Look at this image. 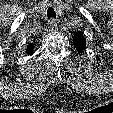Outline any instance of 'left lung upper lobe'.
<instances>
[{
	"instance_id": "obj_1",
	"label": "left lung upper lobe",
	"mask_w": 113,
	"mask_h": 113,
	"mask_svg": "<svg viewBox=\"0 0 113 113\" xmlns=\"http://www.w3.org/2000/svg\"><path fill=\"white\" fill-rule=\"evenodd\" d=\"M73 42H74L75 48L79 52H82L86 47V39L84 38V35L82 32H78L74 35Z\"/></svg>"
}]
</instances>
